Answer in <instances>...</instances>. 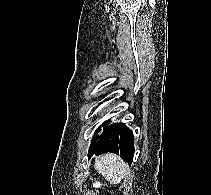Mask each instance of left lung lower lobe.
I'll list each match as a JSON object with an SVG mask.
<instances>
[{"label": "left lung lower lobe", "instance_id": "obj_1", "mask_svg": "<svg viewBox=\"0 0 211 195\" xmlns=\"http://www.w3.org/2000/svg\"><path fill=\"white\" fill-rule=\"evenodd\" d=\"M107 152L120 155L131 165L134 156V136L124 123L107 125L95 146L89 150L88 158Z\"/></svg>", "mask_w": 211, "mask_h": 195}]
</instances>
